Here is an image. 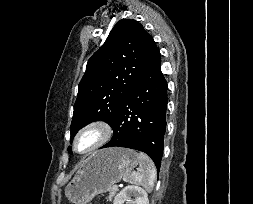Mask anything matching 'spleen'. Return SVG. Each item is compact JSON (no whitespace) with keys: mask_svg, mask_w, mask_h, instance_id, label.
<instances>
[{"mask_svg":"<svg viewBox=\"0 0 253 204\" xmlns=\"http://www.w3.org/2000/svg\"><path fill=\"white\" fill-rule=\"evenodd\" d=\"M139 167L124 175L125 182L143 186L147 191H152L156 179V168L153 161L144 153L138 154Z\"/></svg>","mask_w":253,"mask_h":204,"instance_id":"spleen-1","label":"spleen"}]
</instances>
